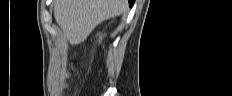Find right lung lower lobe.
I'll return each instance as SVG.
<instances>
[{
    "label": "right lung lower lobe",
    "instance_id": "1",
    "mask_svg": "<svg viewBox=\"0 0 232 96\" xmlns=\"http://www.w3.org/2000/svg\"><path fill=\"white\" fill-rule=\"evenodd\" d=\"M128 1H129V6L132 7L135 0H128Z\"/></svg>",
    "mask_w": 232,
    "mask_h": 96
}]
</instances>
